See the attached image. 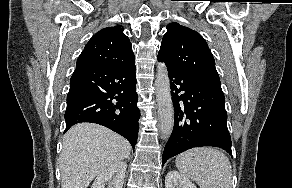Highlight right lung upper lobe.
Returning a JSON list of instances; mask_svg holds the SVG:
<instances>
[{
	"instance_id": "obj_1",
	"label": "right lung upper lobe",
	"mask_w": 292,
	"mask_h": 188,
	"mask_svg": "<svg viewBox=\"0 0 292 188\" xmlns=\"http://www.w3.org/2000/svg\"><path fill=\"white\" fill-rule=\"evenodd\" d=\"M134 62L130 40L119 25L98 31L86 44L76 65L121 66Z\"/></svg>"
}]
</instances>
